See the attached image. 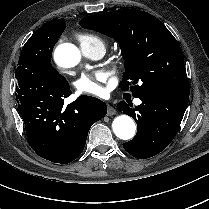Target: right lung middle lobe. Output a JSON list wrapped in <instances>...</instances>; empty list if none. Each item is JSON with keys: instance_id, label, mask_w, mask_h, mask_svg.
Segmentation results:
<instances>
[{"instance_id": "1", "label": "right lung middle lobe", "mask_w": 209, "mask_h": 209, "mask_svg": "<svg viewBox=\"0 0 209 209\" xmlns=\"http://www.w3.org/2000/svg\"><path fill=\"white\" fill-rule=\"evenodd\" d=\"M64 19L41 26L24 45L19 67L15 71L17 80L25 76H37L57 83L67 84L66 79L54 69L50 63L52 50L66 25Z\"/></svg>"}]
</instances>
